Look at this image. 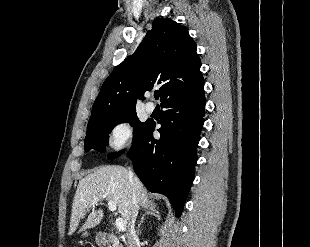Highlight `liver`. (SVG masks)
Segmentation results:
<instances>
[{
  "mask_svg": "<svg viewBox=\"0 0 310 247\" xmlns=\"http://www.w3.org/2000/svg\"><path fill=\"white\" fill-rule=\"evenodd\" d=\"M136 186L129 180L128 171L122 166L107 165L96 168L79 181L72 204L69 235L75 232L80 218L89 213L79 232L97 226L103 218V210H95L94 199L114 201L126 227L131 224L133 193L138 205L143 208L153 205L148 199L147 190L138 178Z\"/></svg>",
  "mask_w": 310,
  "mask_h": 247,
  "instance_id": "liver-1",
  "label": "liver"
}]
</instances>
